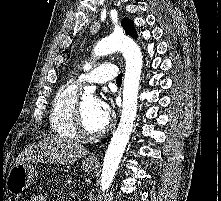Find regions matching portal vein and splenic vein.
<instances>
[{
    "label": "portal vein and splenic vein",
    "instance_id": "1",
    "mask_svg": "<svg viewBox=\"0 0 221 201\" xmlns=\"http://www.w3.org/2000/svg\"><path fill=\"white\" fill-rule=\"evenodd\" d=\"M70 196L73 197V198L77 197V195H76L75 192H71V193H70Z\"/></svg>",
    "mask_w": 221,
    "mask_h": 201
}]
</instances>
